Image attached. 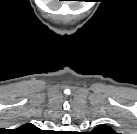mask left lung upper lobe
Masks as SVG:
<instances>
[{
    "label": "left lung upper lobe",
    "instance_id": "5c2ea615",
    "mask_svg": "<svg viewBox=\"0 0 137 134\" xmlns=\"http://www.w3.org/2000/svg\"><path fill=\"white\" fill-rule=\"evenodd\" d=\"M93 134H115V132L110 127L100 125L93 130Z\"/></svg>",
    "mask_w": 137,
    "mask_h": 134
}]
</instances>
